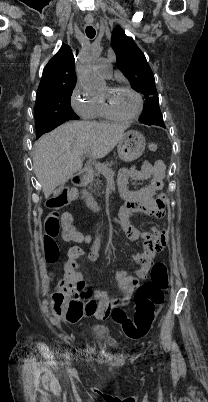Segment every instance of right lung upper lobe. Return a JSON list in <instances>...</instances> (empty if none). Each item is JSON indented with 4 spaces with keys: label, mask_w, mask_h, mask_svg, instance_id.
<instances>
[{
    "label": "right lung upper lobe",
    "mask_w": 208,
    "mask_h": 402,
    "mask_svg": "<svg viewBox=\"0 0 208 402\" xmlns=\"http://www.w3.org/2000/svg\"><path fill=\"white\" fill-rule=\"evenodd\" d=\"M76 84L74 57L68 45L63 44L43 70L37 95L50 89Z\"/></svg>",
    "instance_id": "obj_1"
}]
</instances>
